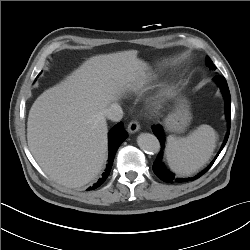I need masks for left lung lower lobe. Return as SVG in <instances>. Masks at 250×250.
<instances>
[{"instance_id": "0a47b994", "label": "left lung lower lobe", "mask_w": 250, "mask_h": 250, "mask_svg": "<svg viewBox=\"0 0 250 250\" xmlns=\"http://www.w3.org/2000/svg\"><path fill=\"white\" fill-rule=\"evenodd\" d=\"M214 80L216 81V83L220 86V89L222 91V94L224 96L225 99V115H226V119L228 122V131L226 133L224 142L221 146L220 151L224 148L228 137H229V132H230V108H231V98H230V92H229V88L227 85V82L225 80L224 77L222 76H215ZM153 133L156 135V137L159 139L160 144H161V151L158 154L156 160L153 163V171L154 173L163 181L168 182V183H173V182H187L190 180H195L199 177H201L204 173H206L208 171V169L212 166V164L214 163L215 159L217 158V156L219 155V153L217 154L216 158L212 161V163L205 168L202 172H200L199 174H197L195 177L192 178H187V179H183V178H177L175 176V174L171 173L169 170L166 169V167L164 166L163 162H162V156H163V148L165 147V138H164V133H163V129L160 125H154L152 127Z\"/></svg>"}]
</instances>
